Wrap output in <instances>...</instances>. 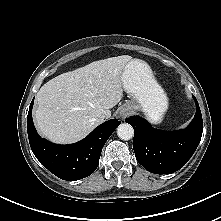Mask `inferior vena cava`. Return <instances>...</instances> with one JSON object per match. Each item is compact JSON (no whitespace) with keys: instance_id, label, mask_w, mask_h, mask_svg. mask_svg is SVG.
<instances>
[{"instance_id":"602c4592","label":"inferior vena cava","mask_w":221,"mask_h":221,"mask_svg":"<svg viewBox=\"0 0 221 221\" xmlns=\"http://www.w3.org/2000/svg\"><path fill=\"white\" fill-rule=\"evenodd\" d=\"M105 119V115H101L99 118H98V122L99 123H102Z\"/></svg>"}]
</instances>
